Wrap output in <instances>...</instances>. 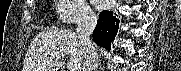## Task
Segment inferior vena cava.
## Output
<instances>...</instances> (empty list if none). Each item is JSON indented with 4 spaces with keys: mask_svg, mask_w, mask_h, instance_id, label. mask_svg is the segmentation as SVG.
<instances>
[{
    "mask_svg": "<svg viewBox=\"0 0 181 71\" xmlns=\"http://www.w3.org/2000/svg\"><path fill=\"white\" fill-rule=\"evenodd\" d=\"M97 24V16L91 12H85L79 19L76 33L79 42L86 52V63L84 71H96L99 57L95 44L90 39Z\"/></svg>",
    "mask_w": 181,
    "mask_h": 71,
    "instance_id": "obj_1",
    "label": "inferior vena cava"
}]
</instances>
